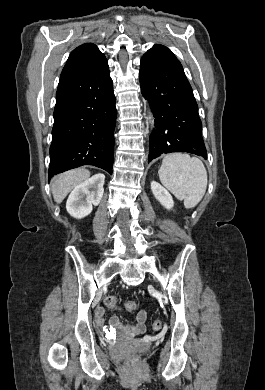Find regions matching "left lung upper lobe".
I'll return each instance as SVG.
<instances>
[{"label": "left lung upper lobe", "mask_w": 265, "mask_h": 390, "mask_svg": "<svg viewBox=\"0 0 265 390\" xmlns=\"http://www.w3.org/2000/svg\"><path fill=\"white\" fill-rule=\"evenodd\" d=\"M147 54H158L165 55L172 58H176L175 55L165 46L163 45H155L150 50H148Z\"/></svg>", "instance_id": "left-lung-upper-lobe-1"}]
</instances>
